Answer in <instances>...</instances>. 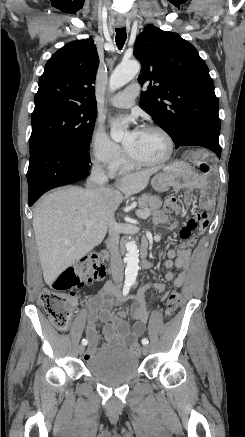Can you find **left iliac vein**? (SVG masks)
Returning <instances> with one entry per match:
<instances>
[{
	"label": "left iliac vein",
	"mask_w": 245,
	"mask_h": 437,
	"mask_svg": "<svg viewBox=\"0 0 245 437\" xmlns=\"http://www.w3.org/2000/svg\"><path fill=\"white\" fill-rule=\"evenodd\" d=\"M148 352H149V348H148V346H147V345H143V347H142V353H143L144 355H147Z\"/></svg>",
	"instance_id": "4c4485c4"
}]
</instances>
